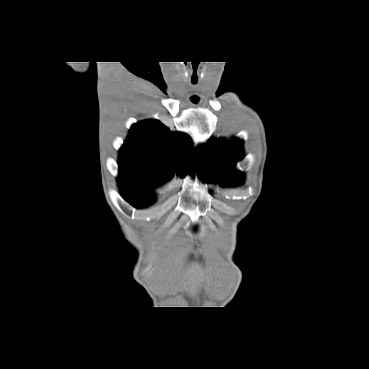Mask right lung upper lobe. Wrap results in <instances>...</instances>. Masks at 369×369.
Listing matches in <instances>:
<instances>
[{"label":"right lung upper lobe","instance_id":"1","mask_svg":"<svg viewBox=\"0 0 369 369\" xmlns=\"http://www.w3.org/2000/svg\"><path fill=\"white\" fill-rule=\"evenodd\" d=\"M118 181L134 193L154 197L152 189L171 179L179 166L185 177L194 172L191 138L171 132L157 120L133 124L119 150Z\"/></svg>","mask_w":369,"mask_h":369}]
</instances>
